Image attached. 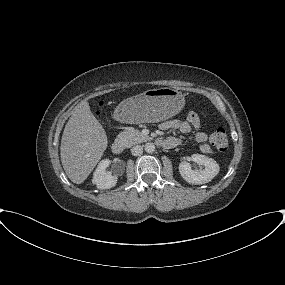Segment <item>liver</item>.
<instances>
[{
    "label": "liver",
    "mask_w": 285,
    "mask_h": 285,
    "mask_svg": "<svg viewBox=\"0 0 285 285\" xmlns=\"http://www.w3.org/2000/svg\"><path fill=\"white\" fill-rule=\"evenodd\" d=\"M107 135L90 110L80 102L69 118L61 139L60 157L65 173L76 184L83 183L107 148Z\"/></svg>",
    "instance_id": "6515ba94"
}]
</instances>
